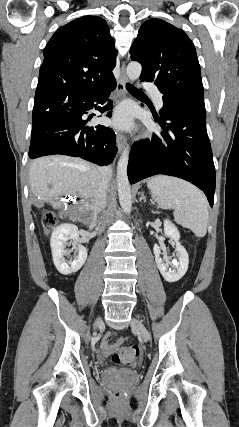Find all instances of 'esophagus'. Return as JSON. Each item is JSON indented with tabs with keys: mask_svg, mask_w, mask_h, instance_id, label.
Listing matches in <instances>:
<instances>
[{
	"mask_svg": "<svg viewBox=\"0 0 239 427\" xmlns=\"http://www.w3.org/2000/svg\"><path fill=\"white\" fill-rule=\"evenodd\" d=\"M127 82H128V78L126 75V66H125V63H123L121 67L120 77L117 81V87H116L118 99H122L123 97H125L127 93V89H126ZM116 142H117L118 151L119 153H121L126 145L125 136L122 133L117 132Z\"/></svg>",
	"mask_w": 239,
	"mask_h": 427,
	"instance_id": "obj_1",
	"label": "esophagus"
}]
</instances>
